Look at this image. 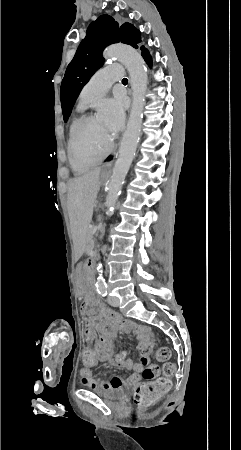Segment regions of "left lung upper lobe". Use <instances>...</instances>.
<instances>
[{"label": "left lung upper lobe", "mask_w": 241, "mask_h": 450, "mask_svg": "<svg viewBox=\"0 0 241 450\" xmlns=\"http://www.w3.org/2000/svg\"><path fill=\"white\" fill-rule=\"evenodd\" d=\"M122 42L138 48L140 31L130 23L121 26L109 15H102L89 25L86 37L68 65L61 83L60 98L64 121L67 122L72 107L83 86L104 63L103 50L110 44ZM145 49L144 46L140 47Z\"/></svg>", "instance_id": "5c2ea615"}]
</instances>
